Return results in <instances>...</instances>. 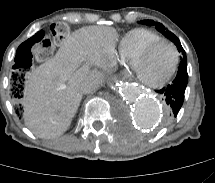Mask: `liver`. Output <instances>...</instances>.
Listing matches in <instances>:
<instances>
[{"instance_id":"liver-1","label":"liver","mask_w":215,"mask_h":183,"mask_svg":"<svg viewBox=\"0 0 215 183\" xmlns=\"http://www.w3.org/2000/svg\"><path fill=\"white\" fill-rule=\"evenodd\" d=\"M117 40L111 27L80 28L64 40L54 57L29 73L24 89L26 127L45 139L65 133L83 97L80 85L102 80L97 68L114 64Z\"/></svg>"}]
</instances>
